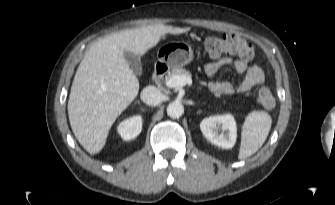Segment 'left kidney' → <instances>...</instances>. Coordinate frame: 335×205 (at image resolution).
I'll use <instances>...</instances> for the list:
<instances>
[{
  "label": "left kidney",
  "mask_w": 335,
  "mask_h": 205,
  "mask_svg": "<svg viewBox=\"0 0 335 205\" xmlns=\"http://www.w3.org/2000/svg\"><path fill=\"white\" fill-rule=\"evenodd\" d=\"M200 129L206 139L218 147L231 149L236 143L237 125L229 113L203 119Z\"/></svg>",
  "instance_id": "1"
}]
</instances>
